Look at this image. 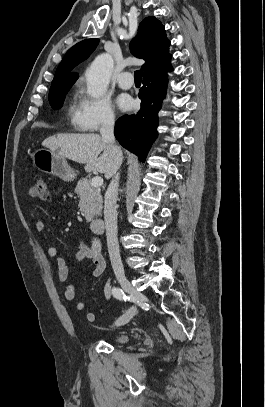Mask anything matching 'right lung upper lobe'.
Here are the masks:
<instances>
[{
	"mask_svg": "<svg viewBox=\"0 0 265 407\" xmlns=\"http://www.w3.org/2000/svg\"><path fill=\"white\" fill-rule=\"evenodd\" d=\"M98 42L99 39H86L71 47L56 70L52 86L60 83H75L79 75L71 71L90 56ZM169 45L170 41L166 37L161 22L155 17H147L140 23L138 34L130 44V50L137 58L145 60L142 66L145 73L169 55Z\"/></svg>",
	"mask_w": 265,
	"mask_h": 407,
	"instance_id": "obj_1",
	"label": "right lung upper lobe"
}]
</instances>
